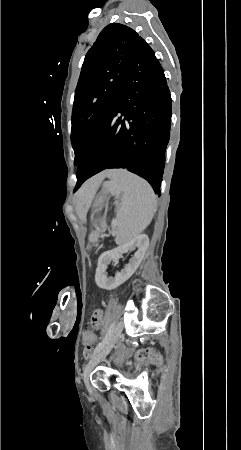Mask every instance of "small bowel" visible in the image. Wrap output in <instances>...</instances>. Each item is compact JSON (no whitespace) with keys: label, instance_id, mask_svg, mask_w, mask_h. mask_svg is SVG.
Here are the masks:
<instances>
[{"label":"small bowel","instance_id":"obj_1","mask_svg":"<svg viewBox=\"0 0 241 450\" xmlns=\"http://www.w3.org/2000/svg\"><path fill=\"white\" fill-rule=\"evenodd\" d=\"M98 314V313H97ZM89 325H93L95 330H100L102 328V316H89Z\"/></svg>","mask_w":241,"mask_h":450}]
</instances>
